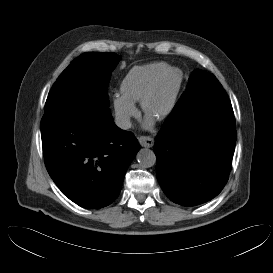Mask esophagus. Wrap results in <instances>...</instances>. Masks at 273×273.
<instances>
[{
	"label": "esophagus",
	"instance_id": "1",
	"mask_svg": "<svg viewBox=\"0 0 273 273\" xmlns=\"http://www.w3.org/2000/svg\"><path fill=\"white\" fill-rule=\"evenodd\" d=\"M139 143L142 147L150 148L154 144V139L150 136H140Z\"/></svg>",
	"mask_w": 273,
	"mask_h": 273
}]
</instances>
